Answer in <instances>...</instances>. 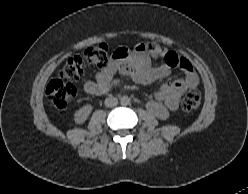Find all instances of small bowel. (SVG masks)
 Here are the masks:
<instances>
[{
  "label": "small bowel",
  "instance_id": "1",
  "mask_svg": "<svg viewBox=\"0 0 248 194\" xmlns=\"http://www.w3.org/2000/svg\"><path fill=\"white\" fill-rule=\"evenodd\" d=\"M167 51L157 46L140 45L136 49L117 48L109 63L96 75L95 80L86 81L84 91L90 95H101L116 84V74L142 85H150L171 73V68L182 70L184 77L171 83L163 84L155 93V101L150 103L152 109L159 111L158 103L166 109H178L182 95L198 85V77L191 63L184 57L175 55L174 66L168 63L152 66V56H163Z\"/></svg>",
  "mask_w": 248,
  "mask_h": 194
}]
</instances>
